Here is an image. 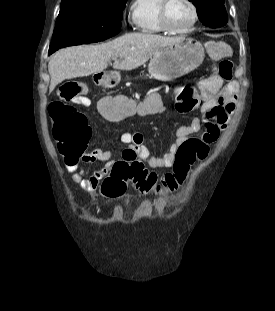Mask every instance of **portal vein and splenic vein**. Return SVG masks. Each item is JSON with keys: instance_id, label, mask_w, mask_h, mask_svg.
Returning a JSON list of instances; mask_svg holds the SVG:
<instances>
[{"instance_id": "obj_1", "label": "portal vein and splenic vein", "mask_w": 275, "mask_h": 311, "mask_svg": "<svg viewBox=\"0 0 275 311\" xmlns=\"http://www.w3.org/2000/svg\"><path fill=\"white\" fill-rule=\"evenodd\" d=\"M118 61L117 60H115V64L117 63Z\"/></svg>"}]
</instances>
